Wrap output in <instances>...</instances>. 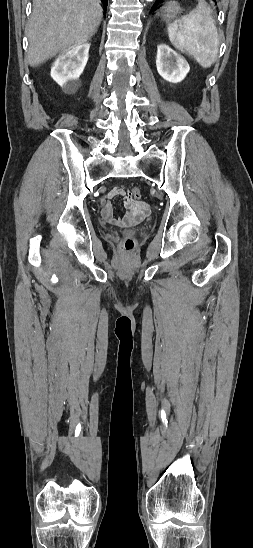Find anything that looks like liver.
Wrapping results in <instances>:
<instances>
[{"label": "liver", "mask_w": 253, "mask_h": 548, "mask_svg": "<svg viewBox=\"0 0 253 548\" xmlns=\"http://www.w3.org/2000/svg\"><path fill=\"white\" fill-rule=\"evenodd\" d=\"M102 11L99 0H33L27 28L30 66L86 43L97 31Z\"/></svg>", "instance_id": "liver-1"}]
</instances>
